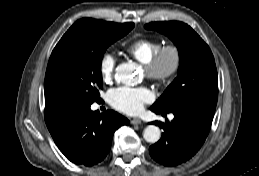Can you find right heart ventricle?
<instances>
[{
  "instance_id": "e07e8e85",
  "label": "right heart ventricle",
  "mask_w": 259,
  "mask_h": 176,
  "mask_svg": "<svg viewBox=\"0 0 259 176\" xmlns=\"http://www.w3.org/2000/svg\"><path fill=\"white\" fill-rule=\"evenodd\" d=\"M162 46L158 39L141 37L132 40L126 47V53L142 64L147 63Z\"/></svg>"
}]
</instances>
